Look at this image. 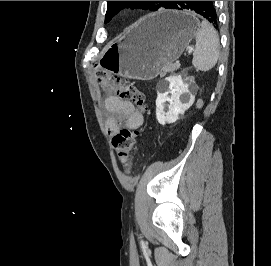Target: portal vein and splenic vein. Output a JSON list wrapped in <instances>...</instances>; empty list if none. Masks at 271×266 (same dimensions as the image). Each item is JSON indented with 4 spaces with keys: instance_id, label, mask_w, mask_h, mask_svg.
Returning a JSON list of instances; mask_svg holds the SVG:
<instances>
[{
    "instance_id": "1",
    "label": "portal vein and splenic vein",
    "mask_w": 271,
    "mask_h": 266,
    "mask_svg": "<svg viewBox=\"0 0 271 266\" xmlns=\"http://www.w3.org/2000/svg\"><path fill=\"white\" fill-rule=\"evenodd\" d=\"M193 49H194V48H193L192 46H190V47L188 48V53H189V54L192 53ZM176 63L178 64V66L180 65L179 61H177Z\"/></svg>"
}]
</instances>
